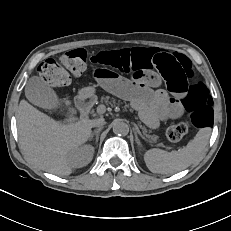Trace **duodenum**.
Here are the masks:
<instances>
[{
  "instance_id": "410a0bca",
  "label": "duodenum",
  "mask_w": 231,
  "mask_h": 231,
  "mask_svg": "<svg viewBox=\"0 0 231 231\" xmlns=\"http://www.w3.org/2000/svg\"><path fill=\"white\" fill-rule=\"evenodd\" d=\"M77 105L84 118H87L91 112L93 99L89 96H84L78 99Z\"/></svg>"
}]
</instances>
